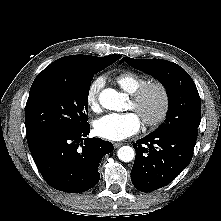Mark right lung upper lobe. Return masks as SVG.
<instances>
[{"mask_svg": "<svg viewBox=\"0 0 221 221\" xmlns=\"http://www.w3.org/2000/svg\"><path fill=\"white\" fill-rule=\"evenodd\" d=\"M121 58L120 55H109ZM99 57L92 55H70L57 59L45 70H58L68 73L82 74L88 71Z\"/></svg>", "mask_w": 221, "mask_h": 221, "instance_id": "obj_1", "label": "right lung upper lobe"}]
</instances>
